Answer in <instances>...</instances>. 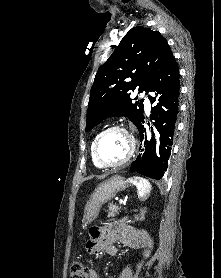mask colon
Here are the masks:
<instances>
[{"instance_id": "5ec220e1", "label": "colon", "mask_w": 221, "mask_h": 278, "mask_svg": "<svg viewBox=\"0 0 221 278\" xmlns=\"http://www.w3.org/2000/svg\"><path fill=\"white\" fill-rule=\"evenodd\" d=\"M90 269L81 262L72 264L69 271V278H89Z\"/></svg>"}]
</instances>
